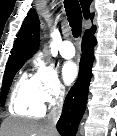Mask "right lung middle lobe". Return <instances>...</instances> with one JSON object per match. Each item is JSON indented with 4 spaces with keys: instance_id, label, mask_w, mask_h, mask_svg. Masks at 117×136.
Returning <instances> with one entry per match:
<instances>
[{
    "instance_id": "dd1d6c3e",
    "label": "right lung middle lobe",
    "mask_w": 117,
    "mask_h": 136,
    "mask_svg": "<svg viewBox=\"0 0 117 136\" xmlns=\"http://www.w3.org/2000/svg\"><path fill=\"white\" fill-rule=\"evenodd\" d=\"M26 60H15L8 62L4 74L3 85L1 90V105L5 104L6 96L16 72L23 66Z\"/></svg>"
}]
</instances>
